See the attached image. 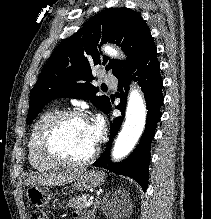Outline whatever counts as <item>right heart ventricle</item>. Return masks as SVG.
Masks as SVG:
<instances>
[{
  "instance_id": "obj_1",
  "label": "right heart ventricle",
  "mask_w": 211,
  "mask_h": 219,
  "mask_svg": "<svg viewBox=\"0 0 211 219\" xmlns=\"http://www.w3.org/2000/svg\"><path fill=\"white\" fill-rule=\"evenodd\" d=\"M57 108L52 107L45 110L35 121L28 140V161L37 171L45 172L53 169L56 165L43 158L37 149V138L42 126L56 113Z\"/></svg>"
}]
</instances>
